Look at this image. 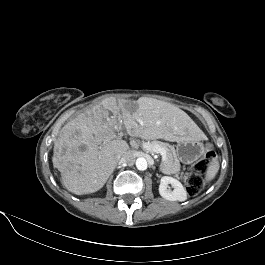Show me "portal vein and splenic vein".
Segmentation results:
<instances>
[{"label": "portal vein and splenic vein", "mask_w": 265, "mask_h": 265, "mask_svg": "<svg viewBox=\"0 0 265 265\" xmlns=\"http://www.w3.org/2000/svg\"><path fill=\"white\" fill-rule=\"evenodd\" d=\"M143 148L147 151V152H153V153H157L160 154L162 156V162L166 161L167 158V152L165 149H163L162 147H160L159 145H151L149 143H145L143 144Z\"/></svg>", "instance_id": "portal-vein-and-splenic-vein-1"}]
</instances>
